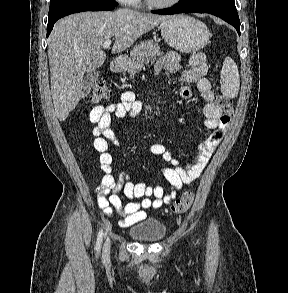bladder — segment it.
I'll return each instance as SVG.
<instances>
[{"label":"bladder","mask_w":288,"mask_h":293,"mask_svg":"<svg viewBox=\"0 0 288 293\" xmlns=\"http://www.w3.org/2000/svg\"><path fill=\"white\" fill-rule=\"evenodd\" d=\"M165 226L154 219L139 223L129 230V236L138 242H157L165 235Z\"/></svg>","instance_id":"31cf9c89"}]
</instances>
